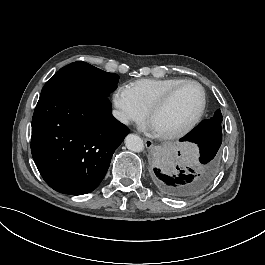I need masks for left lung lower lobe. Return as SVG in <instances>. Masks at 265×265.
<instances>
[{"mask_svg": "<svg viewBox=\"0 0 265 265\" xmlns=\"http://www.w3.org/2000/svg\"><path fill=\"white\" fill-rule=\"evenodd\" d=\"M180 140L198 146L199 157L195 165L192 168L177 166L175 169L173 155L168 151L161 152L154 160L151 181L165 196L187 199L204 192L219 171L222 127L214 125L209 119L203 120Z\"/></svg>", "mask_w": 265, "mask_h": 265, "instance_id": "left-lung-lower-lobe-1", "label": "left lung lower lobe"}]
</instances>
